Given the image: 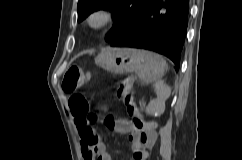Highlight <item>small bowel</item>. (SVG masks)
I'll list each match as a JSON object with an SVG mask.
<instances>
[{
	"label": "small bowel",
	"mask_w": 242,
	"mask_h": 160,
	"mask_svg": "<svg viewBox=\"0 0 242 160\" xmlns=\"http://www.w3.org/2000/svg\"><path fill=\"white\" fill-rule=\"evenodd\" d=\"M74 122L80 135L81 152L84 160H112L107 153L104 143L97 137L96 140L86 141L82 132L88 128L79 126L78 119ZM105 126L116 133L128 134L133 149V157L129 160H147L148 150L152 148L156 139L155 126L152 122L144 121L141 115L129 119L108 116L104 119Z\"/></svg>",
	"instance_id": "1"
}]
</instances>
